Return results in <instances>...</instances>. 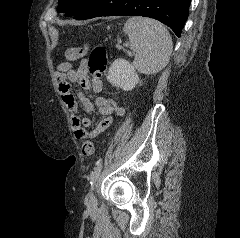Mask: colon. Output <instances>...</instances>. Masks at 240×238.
<instances>
[{
	"label": "colon",
	"instance_id": "5ec220e1",
	"mask_svg": "<svg viewBox=\"0 0 240 238\" xmlns=\"http://www.w3.org/2000/svg\"><path fill=\"white\" fill-rule=\"evenodd\" d=\"M89 53L88 67L94 79L100 80L107 67V52L103 45L94 46L89 51V46L72 47L66 50L65 58L69 61L77 60ZM86 138L82 144V152L85 156H91L94 153V144L91 139Z\"/></svg>",
	"mask_w": 240,
	"mask_h": 238
}]
</instances>
